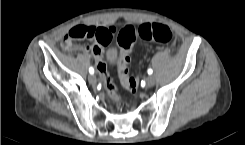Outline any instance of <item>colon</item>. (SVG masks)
Returning a JSON list of instances; mask_svg holds the SVG:
<instances>
[{"mask_svg": "<svg viewBox=\"0 0 245 145\" xmlns=\"http://www.w3.org/2000/svg\"><path fill=\"white\" fill-rule=\"evenodd\" d=\"M110 32L117 36L119 54L117 58V75L123 86L131 93H134L138 87V78L128 75V64L130 61V50L138 39L149 42H160L168 44L173 38L171 29L160 23H144L139 27L126 26L117 31L111 28ZM105 31H96L92 27L77 25L72 27L64 38V44L67 45L74 40H94L98 35ZM102 77L103 87L108 96L122 105V102L115 93L110 74L105 65L98 67Z\"/></svg>", "mask_w": 245, "mask_h": 145, "instance_id": "obj_1", "label": "colon"}]
</instances>
